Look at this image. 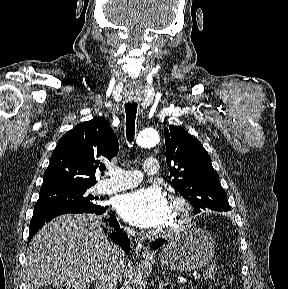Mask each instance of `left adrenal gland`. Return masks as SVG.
Here are the masks:
<instances>
[{"label":"left adrenal gland","mask_w":288,"mask_h":289,"mask_svg":"<svg viewBox=\"0 0 288 289\" xmlns=\"http://www.w3.org/2000/svg\"><path fill=\"white\" fill-rule=\"evenodd\" d=\"M159 287L158 289H163L165 286L169 285V282H163L161 277H157Z\"/></svg>","instance_id":"obj_1"}]
</instances>
